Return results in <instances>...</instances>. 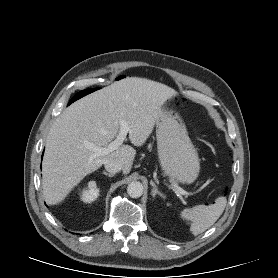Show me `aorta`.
Returning a JSON list of instances; mask_svg holds the SVG:
<instances>
[{"label":"aorta","mask_w":278,"mask_h":278,"mask_svg":"<svg viewBox=\"0 0 278 278\" xmlns=\"http://www.w3.org/2000/svg\"><path fill=\"white\" fill-rule=\"evenodd\" d=\"M127 193L132 198H139L143 194V185L142 183L135 181L131 182L127 187Z\"/></svg>","instance_id":"1"}]
</instances>
